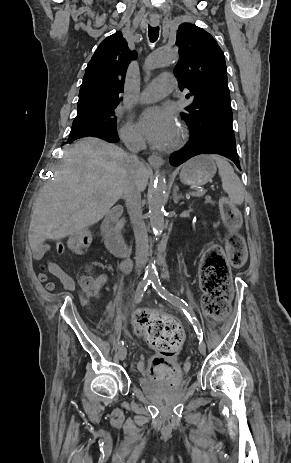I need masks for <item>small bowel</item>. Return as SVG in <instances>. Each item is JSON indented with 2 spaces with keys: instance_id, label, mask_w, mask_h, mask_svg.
Wrapping results in <instances>:
<instances>
[{
  "instance_id": "obj_1",
  "label": "small bowel",
  "mask_w": 291,
  "mask_h": 463,
  "mask_svg": "<svg viewBox=\"0 0 291 463\" xmlns=\"http://www.w3.org/2000/svg\"><path fill=\"white\" fill-rule=\"evenodd\" d=\"M67 247H68V241H67ZM56 249L58 254H62L65 250V246L61 242H57L56 244ZM47 251L46 246H34L33 247V257L35 259H40L44 256L45 252ZM82 253V252H80ZM121 268L123 271L128 272L131 268V263L129 260L124 259L122 260L121 263ZM43 271L46 270L48 273L56 277L60 283L62 284L63 288L68 291V292H73L76 287L75 280L67 273L65 270L54 260L48 259L46 263V268H42ZM38 279L41 282H45V287L48 291H53L56 288V285L53 281H48V276L45 272H40L38 274ZM106 277L105 276H100L98 278V283H103L105 282ZM117 290V286H115L114 291ZM80 304L82 306H87V298L83 294L79 296ZM110 314V306L106 308L102 315V320H105Z\"/></svg>"
}]
</instances>
